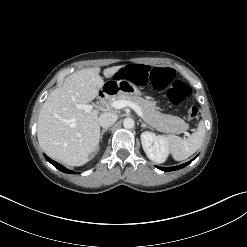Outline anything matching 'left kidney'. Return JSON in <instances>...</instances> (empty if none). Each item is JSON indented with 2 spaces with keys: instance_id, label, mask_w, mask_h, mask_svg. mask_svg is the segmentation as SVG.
Here are the masks:
<instances>
[{
  "instance_id": "1",
  "label": "left kidney",
  "mask_w": 247,
  "mask_h": 247,
  "mask_svg": "<svg viewBox=\"0 0 247 247\" xmlns=\"http://www.w3.org/2000/svg\"><path fill=\"white\" fill-rule=\"evenodd\" d=\"M141 143L147 157L155 163H163L169 154V143L165 136L153 132H143Z\"/></svg>"
}]
</instances>
